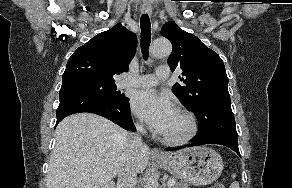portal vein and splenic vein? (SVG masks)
Listing matches in <instances>:
<instances>
[{"instance_id":"obj_1","label":"portal vein and splenic vein","mask_w":292,"mask_h":188,"mask_svg":"<svg viewBox=\"0 0 292 188\" xmlns=\"http://www.w3.org/2000/svg\"><path fill=\"white\" fill-rule=\"evenodd\" d=\"M174 184H175V180H173V179H169L168 182H167V186L169 188L172 187Z\"/></svg>"}]
</instances>
